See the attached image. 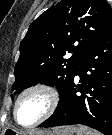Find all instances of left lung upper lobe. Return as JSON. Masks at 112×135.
I'll return each mask as SVG.
<instances>
[{"label":"left lung upper lobe","instance_id":"1","mask_svg":"<svg viewBox=\"0 0 112 135\" xmlns=\"http://www.w3.org/2000/svg\"><path fill=\"white\" fill-rule=\"evenodd\" d=\"M110 24L112 8L106 0H61L30 24L20 44L12 89L20 93L41 83L57 86L61 96Z\"/></svg>","mask_w":112,"mask_h":135}]
</instances>
